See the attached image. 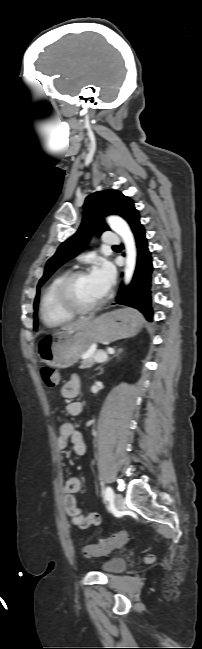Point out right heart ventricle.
Listing matches in <instances>:
<instances>
[{
	"mask_svg": "<svg viewBox=\"0 0 202 649\" xmlns=\"http://www.w3.org/2000/svg\"><path fill=\"white\" fill-rule=\"evenodd\" d=\"M63 271L53 277L43 290L40 303V313L45 324L51 327L60 326L74 318V314L67 311L60 303L57 295L58 287L68 275Z\"/></svg>",
	"mask_w": 202,
	"mask_h": 649,
	"instance_id": "e07e8e85",
	"label": "right heart ventricle"
}]
</instances>
